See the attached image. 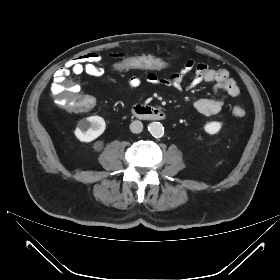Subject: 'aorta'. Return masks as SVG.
Here are the masks:
<instances>
[{"label": "aorta", "mask_w": 280, "mask_h": 280, "mask_svg": "<svg viewBox=\"0 0 280 280\" xmlns=\"http://www.w3.org/2000/svg\"><path fill=\"white\" fill-rule=\"evenodd\" d=\"M148 130L153 137L159 138L164 134V127L160 122H152L148 126Z\"/></svg>", "instance_id": "762f6f07"}]
</instances>
